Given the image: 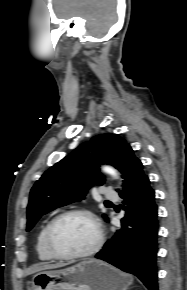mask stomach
Here are the masks:
<instances>
[{"instance_id": "obj_1", "label": "stomach", "mask_w": 187, "mask_h": 290, "mask_svg": "<svg viewBox=\"0 0 187 290\" xmlns=\"http://www.w3.org/2000/svg\"><path fill=\"white\" fill-rule=\"evenodd\" d=\"M132 277L100 260H88L66 269L41 271L32 290H127Z\"/></svg>"}]
</instances>
